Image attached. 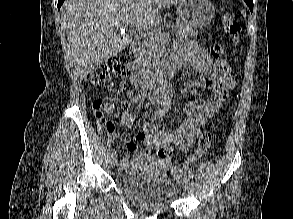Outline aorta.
Returning <instances> with one entry per match:
<instances>
[{"label": "aorta", "mask_w": 293, "mask_h": 219, "mask_svg": "<svg viewBox=\"0 0 293 219\" xmlns=\"http://www.w3.org/2000/svg\"><path fill=\"white\" fill-rule=\"evenodd\" d=\"M155 75L157 77L160 89L163 93H166L170 89V85L167 80L166 72L164 71L162 62H157L155 65Z\"/></svg>", "instance_id": "aorta-1"}]
</instances>
